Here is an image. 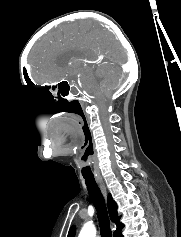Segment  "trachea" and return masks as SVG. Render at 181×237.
<instances>
[{"mask_svg": "<svg viewBox=\"0 0 181 237\" xmlns=\"http://www.w3.org/2000/svg\"><path fill=\"white\" fill-rule=\"evenodd\" d=\"M89 196L96 208L101 237H112L105 200L94 178L84 177Z\"/></svg>", "mask_w": 181, "mask_h": 237, "instance_id": "obj_1", "label": "trachea"}]
</instances>
